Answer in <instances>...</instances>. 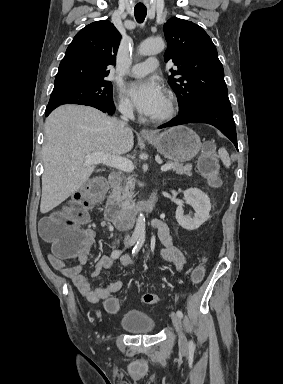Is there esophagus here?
<instances>
[{
    "mask_svg": "<svg viewBox=\"0 0 283 384\" xmlns=\"http://www.w3.org/2000/svg\"><path fill=\"white\" fill-rule=\"evenodd\" d=\"M140 135H142L143 137H153V136H155V133L153 131L148 130V129H142L140 131Z\"/></svg>",
    "mask_w": 283,
    "mask_h": 384,
    "instance_id": "obj_1",
    "label": "esophagus"
}]
</instances>
